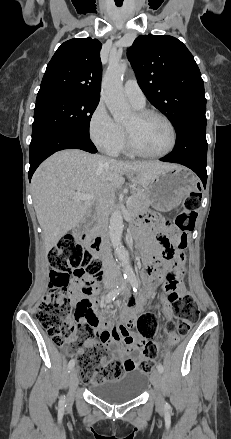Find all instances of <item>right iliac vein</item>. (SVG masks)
Listing matches in <instances>:
<instances>
[{"instance_id":"1","label":"right iliac vein","mask_w":231,"mask_h":439,"mask_svg":"<svg viewBox=\"0 0 231 439\" xmlns=\"http://www.w3.org/2000/svg\"><path fill=\"white\" fill-rule=\"evenodd\" d=\"M77 386H78L77 370L73 368L70 373V389H69L68 401H71L74 398Z\"/></svg>"}]
</instances>
